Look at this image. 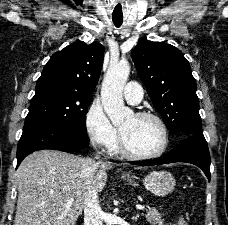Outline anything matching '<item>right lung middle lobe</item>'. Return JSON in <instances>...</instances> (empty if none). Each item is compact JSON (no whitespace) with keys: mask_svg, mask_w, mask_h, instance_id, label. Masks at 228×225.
I'll use <instances>...</instances> for the list:
<instances>
[{"mask_svg":"<svg viewBox=\"0 0 228 225\" xmlns=\"http://www.w3.org/2000/svg\"><path fill=\"white\" fill-rule=\"evenodd\" d=\"M91 94L56 84L36 86L25 125L37 122H54L86 130V113Z\"/></svg>","mask_w":228,"mask_h":225,"instance_id":"dd1d6c3e","label":"right lung middle lobe"}]
</instances>
